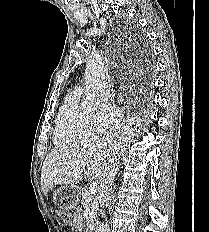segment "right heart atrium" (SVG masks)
<instances>
[{
    "label": "right heart atrium",
    "instance_id": "1",
    "mask_svg": "<svg viewBox=\"0 0 209 232\" xmlns=\"http://www.w3.org/2000/svg\"><path fill=\"white\" fill-rule=\"evenodd\" d=\"M120 117L118 108L110 103H104L92 116L93 124L97 131H104L114 125Z\"/></svg>",
    "mask_w": 209,
    "mask_h": 232
}]
</instances>
